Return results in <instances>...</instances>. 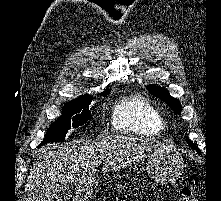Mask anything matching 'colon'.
I'll return each instance as SVG.
<instances>
[{
	"mask_svg": "<svg viewBox=\"0 0 221 201\" xmlns=\"http://www.w3.org/2000/svg\"><path fill=\"white\" fill-rule=\"evenodd\" d=\"M182 201H196L193 190L189 186H184L181 190Z\"/></svg>",
	"mask_w": 221,
	"mask_h": 201,
	"instance_id": "5ec220e1",
	"label": "colon"
}]
</instances>
